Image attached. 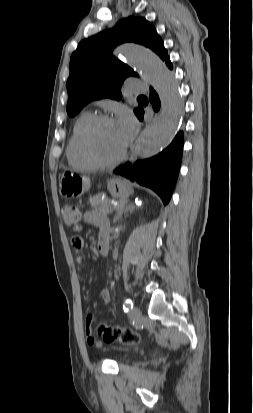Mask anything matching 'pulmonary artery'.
Returning a JSON list of instances; mask_svg holds the SVG:
<instances>
[{"label": "pulmonary artery", "instance_id": "e3ab8cb5", "mask_svg": "<svg viewBox=\"0 0 253 413\" xmlns=\"http://www.w3.org/2000/svg\"><path fill=\"white\" fill-rule=\"evenodd\" d=\"M128 88L131 92L136 93V94L147 92V88L144 84L139 83V82H135V81H131L128 84Z\"/></svg>", "mask_w": 253, "mask_h": 413}]
</instances>
